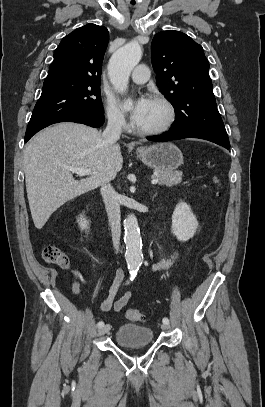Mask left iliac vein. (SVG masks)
Listing matches in <instances>:
<instances>
[{"instance_id":"left-iliac-vein-1","label":"left iliac vein","mask_w":265,"mask_h":407,"mask_svg":"<svg viewBox=\"0 0 265 407\" xmlns=\"http://www.w3.org/2000/svg\"><path fill=\"white\" fill-rule=\"evenodd\" d=\"M161 329L164 330V331H167V330H169V325L163 323V324L161 325Z\"/></svg>"}]
</instances>
